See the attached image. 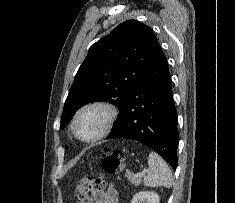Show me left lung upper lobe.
<instances>
[{
	"instance_id": "left-lung-upper-lobe-1",
	"label": "left lung upper lobe",
	"mask_w": 235,
	"mask_h": 203,
	"mask_svg": "<svg viewBox=\"0 0 235 203\" xmlns=\"http://www.w3.org/2000/svg\"><path fill=\"white\" fill-rule=\"evenodd\" d=\"M158 47L151 28L136 20L121 23L94 43L69 90L60 128L90 102L112 103L120 110V116Z\"/></svg>"
}]
</instances>
